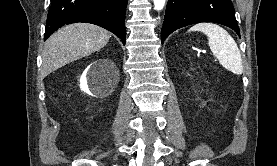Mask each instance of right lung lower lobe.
I'll return each mask as SVG.
<instances>
[{
	"label": "right lung lower lobe",
	"instance_id": "1",
	"mask_svg": "<svg viewBox=\"0 0 277 166\" xmlns=\"http://www.w3.org/2000/svg\"><path fill=\"white\" fill-rule=\"evenodd\" d=\"M127 3L128 0H52L44 40L64 24L84 22L111 31L125 44Z\"/></svg>",
	"mask_w": 277,
	"mask_h": 166
}]
</instances>
